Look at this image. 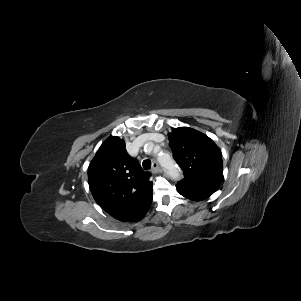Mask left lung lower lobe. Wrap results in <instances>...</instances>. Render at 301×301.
Wrapping results in <instances>:
<instances>
[{
  "instance_id": "1",
  "label": "left lung lower lobe",
  "mask_w": 301,
  "mask_h": 301,
  "mask_svg": "<svg viewBox=\"0 0 301 301\" xmlns=\"http://www.w3.org/2000/svg\"><path fill=\"white\" fill-rule=\"evenodd\" d=\"M177 190L182 196L194 201H202L211 195L209 193L192 191L183 188H177Z\"/></svg>"
}]
</instances>
